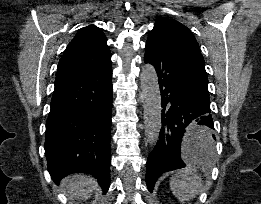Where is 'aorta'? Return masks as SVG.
Wrapping results in <instances>:
<instances>
[{"label": "aorta", "mask_w": 261, "mask_h": 204, "mask_svg": "<svg viewBox=\"0 0 261 204\" xmlns=\"http://www.w3.org/2000/svg\"><path fill=\"white\" fill-rule=\"evenodd\" d=\"M141 96L144 108V131L148 143L155 144L161 129V94L153 65H143L140 75Z\"/></svg>", "instance_id": "aorta-1"}]
</instances>
